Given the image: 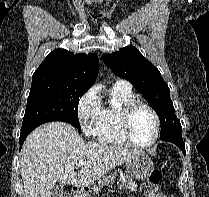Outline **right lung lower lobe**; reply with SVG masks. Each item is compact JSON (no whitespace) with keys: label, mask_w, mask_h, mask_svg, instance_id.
I'll return each mask as SVG.
<instances>
[{"label":"right lung lower lobe","mask_w":209,"mask_h":197,"mask_svg":"<svg viewBox=\"0 0 209 197\" xmlns=\"http://www.w3.org/2000/svg\"><path fill=\"white\" fill-rule=\"evenodd\" d=\"M37 126H39V125H37ZM37 126L28 127V128L23 129V130L21 131V134H20V149H21V147H22V145H23L24 140L26 139V137H27V136L29 135V133H30L33 129H35Z\"/></svg>","instance_id":"obj_1"}]
</instances>
